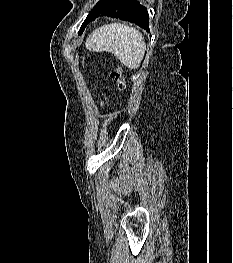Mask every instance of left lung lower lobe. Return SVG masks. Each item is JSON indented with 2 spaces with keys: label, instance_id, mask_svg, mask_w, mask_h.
<instances>
[{
  "label": "left lung lower lobe",
  "instance_id": "0a47b994",
  "mask_svg": "<svg viewBox=\"0 0 233 263\" xmlns=\"http://www.w3.org/2000/svg\"><path fill=\"white\" fill-rule=\"evenodd\" d=\"M100 15L128 20L149 31V15L147 9L140 5L137 0H117L103 12L91 16L89 22L95 20Z\"/></svg>",
  "mask_w": 233,
  "mask_h": 263
}]
</instances>
